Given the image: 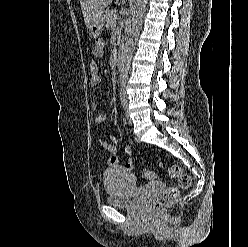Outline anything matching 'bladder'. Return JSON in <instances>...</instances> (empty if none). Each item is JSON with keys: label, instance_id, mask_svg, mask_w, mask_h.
I'll use <instances>...</instances> for the list:
<instances>
[{"label": "bladder", "instance_id": "1", "mask_svg": "<svg viewBox=\"0 0 248 247\" xmlns=\"http://www.w3.org/2000/svg\"><path fill=\"white\" fill-rule=\"evenodd\" d=\"M108 203L115 207H133L141 188L136 185L132 173L122 167H112L103 174Z\"/></svg>", "mask_w": 248, "mask_h": 247}]
</instances>
